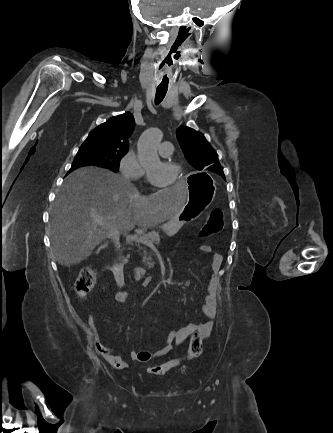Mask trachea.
I'll return each mask as SVG.
<instances>
[{"label":"trachea","mask_w":333,"mask_h":433,"mask_svg":"<svg viewBox=\"0 0 333 433\" xmlns=\"http://www.w3.org/2000/svg\"><path fill=\"white\" fill-rule=\"evenodd\" d=\"M164 79V78H163ZM168 87L158 86L155 95V104H159L165 97Z\"/></svg>","instance_id":"1"}]
</instances>
